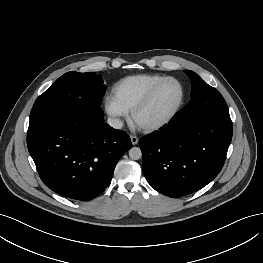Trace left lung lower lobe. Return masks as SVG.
Here are the masks:
<instances>
[{"label":"left lung lower lobe","mask_w":263,"mask_h":263,"mask_svg":"<svg viewBox=\"0 0 263 263\" xmlns=\"http://www.w3.org/2000/svg\"><path fill=\"white\" fill-rule=\"evenodd\" d=\"M230 115L182 128L175 117L140 140L143 172L158 192L180 197L211 182L221 171L232 139Z\"/></svg>","instance_id":"obj_1"}]
</instances>
